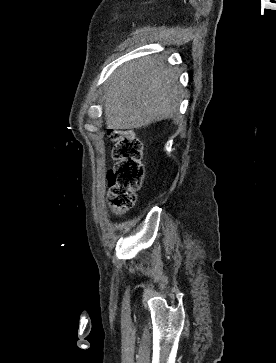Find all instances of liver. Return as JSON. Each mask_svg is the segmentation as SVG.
<instances>
[{
    "mask_svg": "<svg viewBox=\"0 0 276 363\" xmlns=\"http://www.w3.org/2000/svg\"><path fill=\"white\" fill-rule=\"evenodd\" d=\"M175 68L145 57L122 66L108 81L104 115L110 129H138L178 113L182 89Z\"/></svg>",
    "mask_w": 276,
    "mask_h": 363,
    "instance_id": "1",
    "label": "liver"
}]
</instances>
